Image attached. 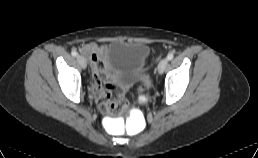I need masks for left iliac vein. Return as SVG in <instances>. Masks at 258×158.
<instances>
[{"label":"left iliac vein","instance_id":"1","mask_svg":"<svg viewBox=\"0 0 258 158\" xmlns=\"http://www.w3.org/2000/svg\"><path fill=\"white\" fill-rule=\"evenodd\" d=\"M167 64H168L167 58H164L160 61L159 65H158V73L159 74H162L165 71Z\"/></svg>","mask_w":258,"mask_h":158}]
</instances>
